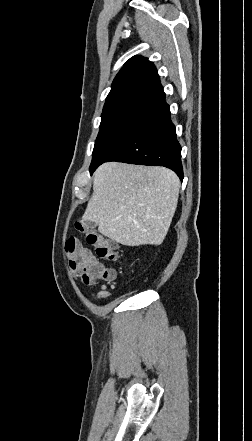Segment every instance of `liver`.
Segmentation results:
<instances>
[{"label":"liver","mask_w":252,"mask_h":441,"mask_svg":"<svg viewBox=\"0 0 252 441\" xmlns=\"http://www.w3.org/2000/svg\"><path fill=\"white\" fill-rule=\"evenodd\" d=\"M180 180L170 169L117 162L95 171L93 194L82 217L122 245H159L174 216Z\"/></svg>","instance_id":"6515ba94"}]
</instances>
